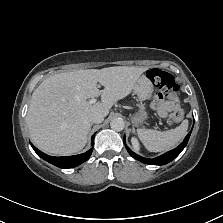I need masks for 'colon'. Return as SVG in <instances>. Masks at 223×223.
Wrapping results in <instances>:
<instances>
[{"mask_svg":"<svg viewBox=\"0 0 223 223\" xmlns=\"http://www.w3.org/2000/svg\"><path fill=\"white\" fill-rule=\"evenodd\" d=\"M148 78L158 88H160L168 97L175 96L179 87L175 83L174 77L161 69H151L147 73ZM183 119V112L181 109H176L169 117L170 124H178Z\"/></svg>","mask_w":223,"mask_h":223,"instance_id":"1","label":"colon"}]
</instances>
